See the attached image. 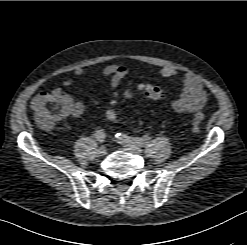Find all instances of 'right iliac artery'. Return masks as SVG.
Here are the masks:
<instances>
[{
	"instance_id": "1",
	"label": "right iliac artery",
	"mask_w": 247,
	"mask_h": 245,
	"mask_svg": "<svg viewBox=\"0 0 247 245\" xmlns=\"http://www.w3.org/2000/svg\"><path fill=\"white\" fill-rule=\"evenodd\" d=\"M95 137H96L97 141L103 143L104 140H105V138H106V134H105V132L101 129V130L96 131Z\"/></svg>"
}]
</instances>
